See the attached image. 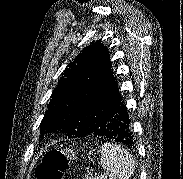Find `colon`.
Returning <instances> with one entry per match:
<instances>
[{"label": "colon", "mask_w": 183, "mask_h": 179, "mask_svg": "<svg viewBox=\"0 0 183 179\" xmlns=\"http://www.w3.org/2000/svg\"><path fill=\"white\" fill-rule=\"evenodd\" d=\"M73 157L72 151L66 149L47 151L36 168L37 179H63Z\"/></svg>", "instance_id": "colon-1"}]
</instances>
